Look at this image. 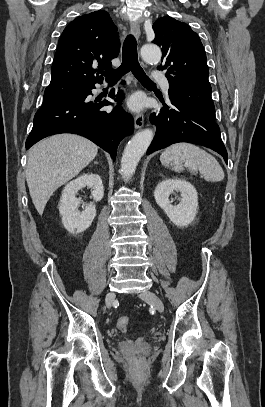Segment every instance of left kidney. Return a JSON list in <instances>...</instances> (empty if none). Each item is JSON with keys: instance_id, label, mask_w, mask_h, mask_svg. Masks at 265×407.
<instances>
[{"instance_id": "5707ae66", "label": "left kidney", "mask_w": 265, "mask_h": 407, "mask_svg": "<svg viewBox=\"0 0 265 407\" xmlns=\"http://www.w3.org/2000/svg\"><path fill=\"white\" fill-rule=\"evenodd\" d=\"M174 191L181 194L180 203L177 205H172L169 200ZM154 197L176 226L186 227L194 221L198 210V194L190 182L178 178L165 179L157 185Z\"/></svg>"}]
</instances>
